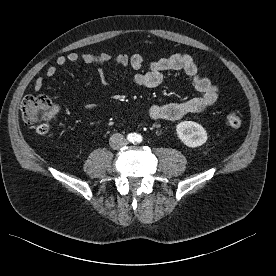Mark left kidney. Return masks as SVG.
I'll list each match as a JSON object with an SVG mask.
<instances>
[{
  "label": "left kidney",
  "mask_w": 276,
  "mask_h": 276,
  "mask_svg": "<svg viewBox=\"0 0 276 276\" xmlns=\"http://www.w3.org/2000/svg\"><path fill=\"white\" fill-rule=\"evenodd\" d=\"M179 139L188 147L195 148L207 141V132L202 125L193 121H183L176 126Z\"/></svg>",
  "instance_id": "1"
}]
</instances>
